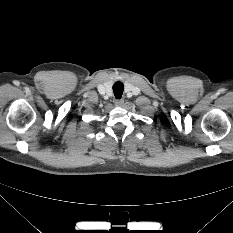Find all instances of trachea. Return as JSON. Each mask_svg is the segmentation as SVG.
<instances>
[{
  "mask_svg": "<svg viewBox=\"0 0 233 233\" xmlns=\"http://www.w3.org/2000/svg\"><path fill=\"white\" fill-rule=\"evenodd\" d=\"M123 90H124V85L122 82L117 81L114 85H113V92L115 95L116 99H120L122 97L123 94Z\"/></svg>",
  "mask_w": 233,
  "mask_h": 233,
  "instance_id": "3493384b",
  "label": "trachea"
}]
</instances>
